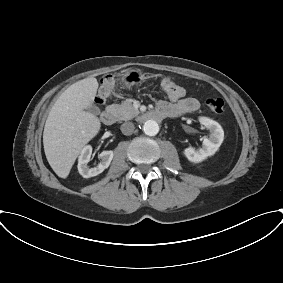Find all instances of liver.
I'll return each instance as SVG.
<instances>
[{"instance_id": "1", "label": "liver", "mask_w": 283, "mask_h": 283, "mask_svg": "<svg viewBox=\"0 0 283 283\" xmlns=\"http://www.w3.org/2000/svg\"><path fill=\"white\" fill-rule=\"evenodd\" d=\"M97 79L88 77L68 87L53 105L43 132L48 163L60 178H67L83 147L99 132L97 116L85 111L92 106Z\"/></svg>"}]
</instances>
